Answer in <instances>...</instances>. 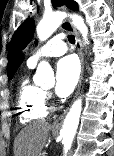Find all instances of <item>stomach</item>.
Here are the masks:
<instances>
[{
  "label": "stomach",
  "mask_w": 114,
  "mask_h": 156,
  "mask_svg": "<svg viewBox=\"0 0 114 156\" xmlns=\"http://www.w3.org/2000/svg\"><path fill=\"white\" fill-rule=\"evenodd\" d=\"M52 132H56V129L52 127Z\"/></svg>",
  "instance_id": "0dacf381"
}]
</instances>
